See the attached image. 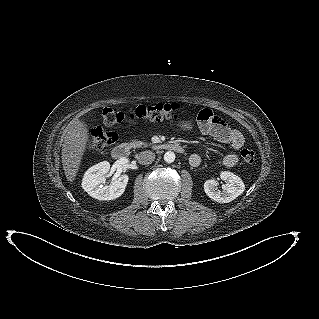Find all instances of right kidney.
<instances>
[{"label":"right kidney","instance_id":"1","mask_svg":"<svg viewBox=\"0 0 319 319\" xmlns=\"http://www.w3.org/2000/svg\"><path fill=\"white\" fill-rule=\"evenodd\" d=\"M110 170L108 161L100 162L90 167L82 179V188L91 197L98 200H113L120 197L127 186L129 177L126 174L120 175L106 184V175Z\"/></svg>","mask_w":319,"mask_h":319}]
</instances>
